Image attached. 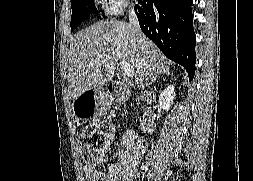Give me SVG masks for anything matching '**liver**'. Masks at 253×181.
Returning <instances> with one entry per match:
<instances>
[{"label": "liver", "mask_w": 253, "mask_h": 181, "mask_svg": "<svg viewBox=\"0 0 253 181\" xmlns=\"http://www.w3.org/2000/svg\"><path fill=\"white\" fill-rule=\"evenodd\" d=\"M68 56L71 99L111 82L122 60L134 67V81L140 88L170 69L168 60L152 41L144 35L137 36L129 23L116 20L100 21L77 33Z\"/></svg>", "instance_id": "liver-1"}]
</instances>
